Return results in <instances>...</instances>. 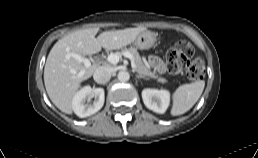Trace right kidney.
<instances>
[{
    "label": "right kidney",
    "instance_id": "1",
    "mask_svg": "<svg viewBox=\"0 0 258 158\" xmlns=\"http://www.w3.org/2000/svg\"><path fill=\"white\" fill-rule=\"evenodd\" d=\"M95 98L92 104H86V99ZM104 89L91 88L85 86L79 90L72 99V109L74 113L80 117L85 118L97 113L104 105Z\"/></svg>",
    "mask_w": 258,
    "mask_h": 158
}]
</instances>
